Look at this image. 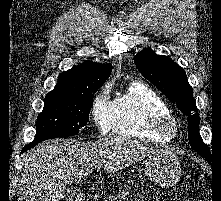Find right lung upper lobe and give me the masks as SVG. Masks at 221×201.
Listing matches in <instances>:
<instances>
[{"instance_id": "cb5924a9", "label": "right lung upper lobe", "mask_w": 221, "mask_h": 201, "mask_svg": "<svg viewBox=\"0 0 221 201\" xmlns=\"http://www.w3.org/2000/svg\"><path fill=\"white\" fill-rule=\"evenodd\" d=\"M112 71L111 64L86 61L81 65L62 72L58 83L51 92L68 95H87L97 91Z\"/></svg>"}]
</instances>
